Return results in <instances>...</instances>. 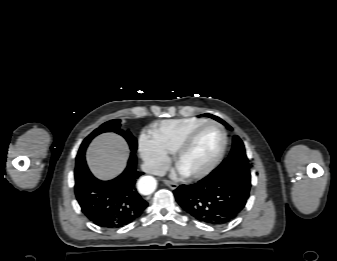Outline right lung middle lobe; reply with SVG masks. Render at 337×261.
Listing matches in <instances>:
<instances>
[{
  "label": "right lung middle lobe",
  "mask_w": 337,
  "mask_h": 261,
  "mask_svg": "<svg viewBox=\"0 0 337 261\" xmlns=\"http://www.w3.org/2000/svg\"><path fill=\"white\" fill-rule=\"evenodd\" d=\"M120 120H111V121H108L104 124H102L100 127H98L97 129H95L89 136H87L85 138V140L82 142L81 144V147L79 149V152H78V155H77V158L85 153V150L87 148V146L89 145V143L91 142V140L101 134V133H104V132H115V133H118L120 135H122L128 142L129 146H130V149L132 152H135L136 149H137V141L136 139L131 135L130 132H124L120 129Z\"/></svg>",
  "instance_id": "dd1d6c3e"
}]
</instances>
